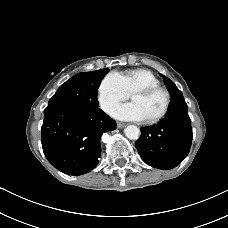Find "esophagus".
<instances>
[{"label": "esophagus", "mask_w": 228, "mask_h": 228, "mask_svg": "<svg viewBox=\"0 0 228 228\" xmlns=\"http://www.w3.org/2000/svg\"><path fill=\"white\" fill-rule=\"evenodd\" d=\"M125 126L124 123H121V122H117V128H123Z\"/></svg>", "instance_id": "1"}]
</instances>
